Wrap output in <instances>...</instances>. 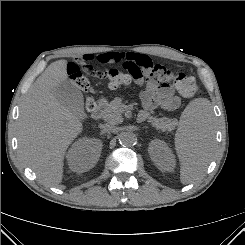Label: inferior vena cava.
I'll list each match as a JSON object with an SVG mask.
<instances>
[{"instance_id":"obj_1","label":"inferior vena cava","mask_w":245,"mask_h":245,"mask_svg":"<svg viewBox=\"0 0 245 245\" xmlns=\"http://www.w3.org/2000/svg\"><path fill=\"white\" fill-rule=\"evenodd\" d=\"M104 128L107 130V131H110L112 133H116L118 132V128L113 126V125H106L104 126Z\"/></svg>"}]
</instances>
